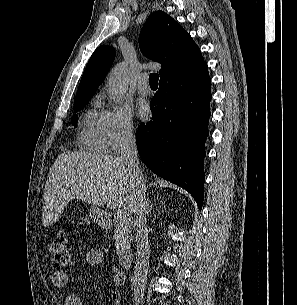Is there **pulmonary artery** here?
Masks as SVG:
<instances>
[{
    "instance_id": "e3ab8cb5",
    "label": "pulmonary artery",
    "mask_w": 297,
    "mask_h": 305,
    "mask_svg": "<svg viewBox=\"0 0 297 305\" xmlns=\"http://www.w3.org/2000/svg\"><path fill=\"white\" fill-rule=\"evenodd\" d=\"M148 75L146 73H142L138 78L137 89L141 95L147 96L150 95L151 89L147 84Z\"/></svg>"
}]
</instances>
